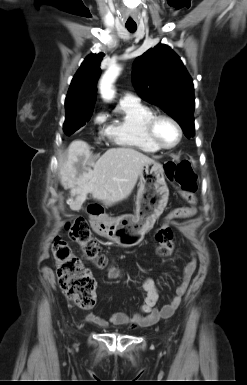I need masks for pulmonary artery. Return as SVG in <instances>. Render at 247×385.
<instances>
[{
    "mask_svg": "<svg viewBox=\"0 0 247 385\" xmlns=\"http://www.w3.org/2000/svg\"><path fill=\"white\" fill-rule=\"evenodd\" d=\"M121 102L123 103H134V102H138V98L136 96H134L133 94L129 93V92H126L122 99H121Z\"/></svg>",
    "mask_w": 247,
    "mask_h": 385,
    "instance_id": "e3ab8cb5",
    "label": "pulmonary artery"
}]
</instances>
